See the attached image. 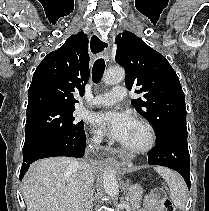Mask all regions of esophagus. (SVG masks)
I'll list each match as a JSON object with an SVG mask.
<instances>
[{
  "label": "esophagus",
  "instance_id": "esophagus-1",
  "mask_svg": "<svg viewBox=\"0 0 209 211\" xmlns=\"http://www.w3.org/2000/svg\"><path fill=\"white\" fill-rule=\"evenodd\" d=\"M90 48L94 53H100L107 61L110 59V42H102L97 36H92ZM104 48V49H103ZM124 151H118V147H92L88 159L90 163H123Z\"/></svg>",
  "mask_w": 209,
  "mask_h": 211
}]
</instances>
